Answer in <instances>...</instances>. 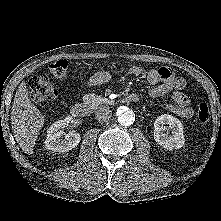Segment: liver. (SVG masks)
I'll return each mask as SVG.
<instances>
[{
	"instance_id": "obj_1",
	"label": "liver",
	"mask_w": 221,
	"mask_h": 221,
	"mask_svg": "<svg viewBox=\"0 0 221 221\" xmlns=\"http://www.w3.org/2000/svg\"><path fill=\"white\" fill-rule=\"evenodd\" d=\"M12 132L22 151L33 153L35 141L44 125L41 112L31 103L25 81L15 93L11 111Z\"/></svg>"
}]
</instances>
